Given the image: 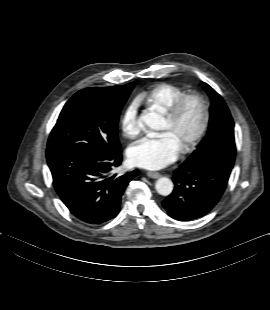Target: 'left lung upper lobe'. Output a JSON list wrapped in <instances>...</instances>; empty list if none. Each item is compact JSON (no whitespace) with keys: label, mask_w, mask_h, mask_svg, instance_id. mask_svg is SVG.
Returning a JSON list of instances; mask_svg holds the SVG:
<instances>
[{"label":"left lung upper lobe","mask_w":270,"mask_h":310,"mask_svg":"<svg viewBox=\"0 0 270 310\" xmlns=\"http://www.w3.org/2000/svg\"><path fill=\"white\" fill-rule=\"evenodd\" d=\"M212 98L209 129L187 163H202L231 171L235 160L234 122L221 98L208 84L204 83Z\"/></svg>","instance_id":"1"}]
</instances>
